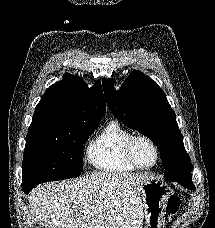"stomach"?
<instances>
[{
	"label": "stomach",
	"mask_w": 215,
	"mask_h": 228,
	"mask_svg": "<svg viewBox=\"0 0 215 228\" xmlns=\"http://www.w3.org/2000/svg\"><path fill=\"white\" fill-rule=\"evenodd\" d=\"M171 196L173 190L156 178L141 186L140 200L145 220L142 228H163Z\"/></svg>",
	"instance_id": "0dacf381"
}]
</instances>
